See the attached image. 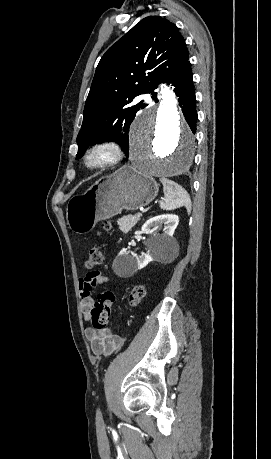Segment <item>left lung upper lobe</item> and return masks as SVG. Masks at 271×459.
<instances>
[{
    "label": "left lung upper lobe",
    "instance_id": "1",
    "mask_svg": "<svg viewBox=\"0 0 271 459\" xmlns=\"http://www.w3.org/2000/svg\"><path fill=\"white\" fill-rule=\"evenodd\" d=\"M189 59L185 40L172 22L159 16L142 19L113 44L101 58L88 94L78 153L102 140L118 142L129 151V127L143 101L135 96L151 93Z\"/></svg>",
    "mask_w": 271,
    "mask_h": 459
}]
</instances>
